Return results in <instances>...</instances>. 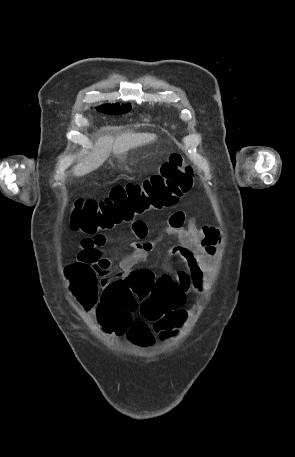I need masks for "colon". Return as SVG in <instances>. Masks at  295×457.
Here are the masks:
<instances>
[{"label": "colon", "instance_id": "obj_1", "mask_svg": "<svg viewBox=\"0 0 295 457\" xmlns=\"http://www.w3.org/2000/svg\"><path fill=\"white\" fill-rule=\"evenodd\" d=\"M192 174L193 169L183 156L174 153L157 174L142 183L116 186L100 200L77 201L70 224L75 230L95 234L132 223L149 211L170 208L190 190ZM106 270L82 261L66 267L71 287L86 307L96 304L98 276L104 275ZM138 301L142 316L155 323V331L161 337L169 336L186 318L177 299V287L170 277H156L150 270L138 269L130 272L125 280L121 273L108 279L96 309L98 320L117 336L127 335L136 343L137 350H146L154 341V334L145 321L132 320Z\"/></svg>", "mask_w": 295, "mask_h": 457}]
</instances>
